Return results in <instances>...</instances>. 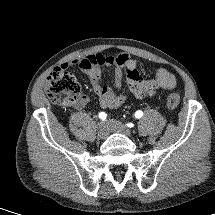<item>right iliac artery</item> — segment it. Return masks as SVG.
<instances>
[{
  "instance_id": "1",
  "label": "right iliac artery",
  "mask_w": 215,
  "mask_h": 215,
  "mask_svg": "<svg viewBox=\"0 0 215 215\" xmlns=\"http://www.w3.org/2000/svg\"><path fill=\"white\" fill-rule=\"evenodd\" d=\"M106 117H107V115L105 113H103V112L99 113L100 119L104 120V119H106Z\"/></svg>"
}]
</instances>
